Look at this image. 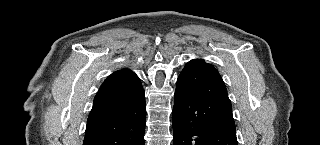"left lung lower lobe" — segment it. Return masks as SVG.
Masks as SVG:
<instances>
[{"label": "left lung lower lobe", "instance_id": "left-lung-lower-lobe-1", "mask_svg": "<svg viewBox=\"0 0 320 145\" xmlns=\"http://www.w3.org/2000/svg\"><path fill=\"white\" fill-rule=\"evenodd\" d=\"M174 145H237L232 105L217 69L189 61L177 80Z\"/></svg>", "mask_w": 320, "mask_h": 145}]
</instances>
